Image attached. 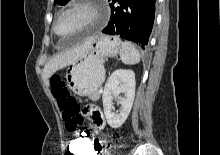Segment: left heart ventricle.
Listing matches in <instances>:
<instances>
[{
  "mask_svg": "<svg viewBox=\"0 0 220 155\" xmlns=\"http://www.w3.org/2000/svg\"><path fill=\"white\" fill-rule=\"evenodd\" d=\"M85 21L83 12H73L60 17L56 24V31L61 36H68L80 28Z\"/></svg>",
  "mask_w": 220,
  "mask_h": 155,
  "instance_id": "left-heart-ventricle-1",
  "label": "left heart ventricle"
}]
</instances>
